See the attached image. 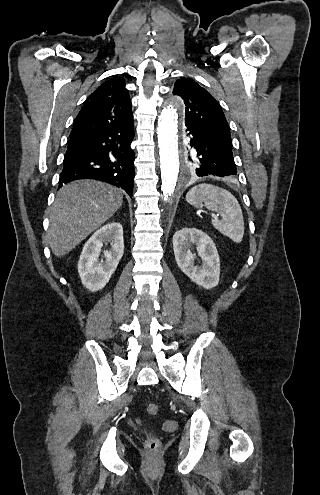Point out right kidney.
<instances>
[{
  "label": "right kidney",
  "mask_w": 320,
  "mask_h": 495,
  "mask_svg": "<svg viewBox=\"0 0 320 495\" xmlns=\"http://www.w3.org/2000/svg\"><path fill=\"white\" fill-rule=\"evenodd\" d=\"M111 244L104 250L105 261L99 260L103 244ZM124 253L123 228L112 222L98 229L83 247L78 262V273L83 286L91 292L101 290L109 282Z\"/></svg>",
  "instance_id": "right-kidney-1"
}]
</instances>
